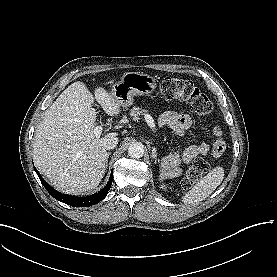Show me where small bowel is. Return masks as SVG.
Instances as JSON below:
<instances>
[{"mask_svg":"<svg viewBox=\"0 0 277 277\" xmlns=\"http://www.w3.org/2000/svg\"><path fill=\"white\" fill-rule=\"evenodd\" d=\"M160 126L169 127L176 135L183 136L187 129L192 125V119L188 114L180 111H167L162 113L158 118ZM213 140L203 143L199 146H190L179 152V157L184 164H189L198 156H206L210 153L221 154L223 151L222 142L220 141L221 131L219 128L211 132Z\"/></svg>","mask_w":277,"mask_h":277,"instance_id":"c3829d8e","label":"small bowel"}]
</instances>
